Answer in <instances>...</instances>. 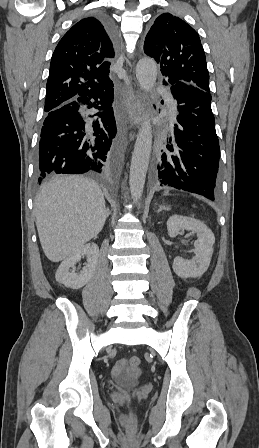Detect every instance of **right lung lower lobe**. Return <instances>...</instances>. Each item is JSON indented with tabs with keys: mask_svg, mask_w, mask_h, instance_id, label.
Masks as SVG:
<instances>
[{
	"mask_svg": "<svg viewBox=\"0 0 259 448\" xmlns=\"http://www.w3.org/2000/svg\"><path fill=\"white\" fill-rule=\"evenodd\" d=\"M101 21L115 42L112 24ZM113 96L112 86L45 112L36 157L39 183L54 172H105L117 133Z\"/></svg>",
	"mask_w": 259,
	"mask_h": 448,
	"instance_id": "right-lung-lower-lobe-1",
	"label": "right lung lower lobe"
}]
</instances>
